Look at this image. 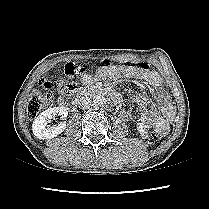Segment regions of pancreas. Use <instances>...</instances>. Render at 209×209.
<instances>
[{
    "label": "pancreas",
    "mask_w": 209,
    "mask_h": 209,
    "mask_svg": "<svg viewBox=\"0 0 209 209\" xmlns=\"http://www.w3.org/2000/svg\"><path fill=\"white\" fill-rule=\"evenodd\" d=\"M90 89H91L92 91H93V90H95V88H93V87H92V88H90Z\"/></svg>",
    "instance_id": "1"
}]
</instances>
